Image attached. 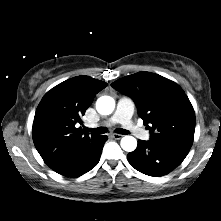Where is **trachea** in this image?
Returning <instances> with one entry per match:
<instances>
[{
	"label": "trachea",
	"instance_id": "1",
	"mask_svg": "<svg viewBox=\"0 0 221 221\" xmlns=\"http://www.w3.org/2000/svg\"><path fill=\"white\" fill-rule=\"evenodd\" d=\"M88 132L96 133V134H104L107 132V128L105 127H98V128H87L86 129ZM116 133L119 134H129L127 130H124L122 128H118L115 130Z\"/></svg>",
	"mask_w": 221,
	"mask_h": 221
}]
</instances>
